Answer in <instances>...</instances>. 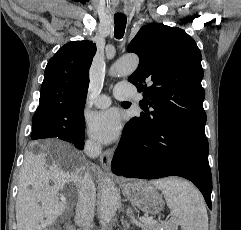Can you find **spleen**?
<instances>
[{"instance_id":"obj_1","label":"spleen","mask_w":241,"mask_h":230,"mask_svg":"<svg viewBox=\"0 0 241 230\" xmlns=\"http://www.w3.org/2000/svg\"><path fill=\"white\" fill-rule=\"evenodd\" d=\"M162 191L166 204L182 230H208V215L201 193L190 182L166 178L150 182Z\"/></svg>"}]
</instances>
